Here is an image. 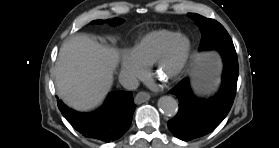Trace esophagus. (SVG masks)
I'll return each mask as SVG.
<instances>
[{
  "mask_svg": "<svg viewBox=\"0 0 279 148\" xmlns=\"http://www.w3.org/2000/svg\"><path fill=\"white\" fill-rule=\"evenodd\" d=\"M150 97L151 96L148 92L141 91L135 96V103L136 104L144 103V102L148 101L150 99Z\"/></svg>",
  "mask_w": 279,
  "mask_h": 148,
  "instance_id": "obj_1",
  "label": "esophagus"
}]
</instances>
